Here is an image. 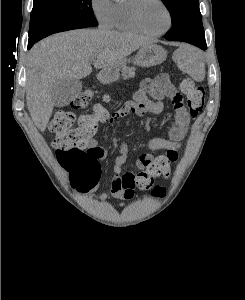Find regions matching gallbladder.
I'll return each instance as SVG.
<instances>
[{"mask_svg":"<svg viewBox=\"0 0 245 300\" xmlns=\"http://www.w3.org/2000/svg\"><path fill=\"white\" fill-rule=\"evenodd\" d=\"M82 83L78 79L61 80L52 89L54 105L64 107L68 105L81 91Z\"/></svg>","mask_w":245,"mask_h":300,"instance_id":"gallbladder-1","label":"gallbladder"}]
</instances>
